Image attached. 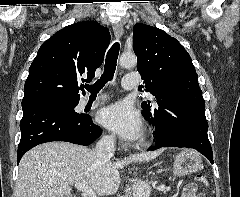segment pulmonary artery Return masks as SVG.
<instances>
[{
  "label": "pulmonary artery",
  "instance_id": "pulmonary-artery-1",
  "mask_svg": "<svg viewBox=\"0 0 240 197\" xmlns=\"http://www.w3.org/2000/svg\"><path fill=\"white\" fill-rule=\"evenodd\" d=\"M139 84V75L138 74H128L124 76L123 81H122V87L125 90H131L136 88V86ZM107 99V96H99L96 98L94 103H98L100 101H103Z\"/></svg>",
  "mask_w": 240,
  "mask_h": 197
}]
</instances>
